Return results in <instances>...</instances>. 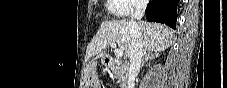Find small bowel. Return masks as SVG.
<instances>
[{
  "label": "small bowel",
  "mask_w": 227,
  "mask_h": 88,
  "mask_svg": "<svg viewBox=\"0 0 227 88\" xmlns=\"http://www.w3.org/2000/svg\"><path fill=\"white\" fill-rule=\"evenodd\" d=\"M89 70L92 71L93 70V66H90ZM99 87L102 88V86H99Z\"/></svg>",
  "instance_id": "c3829d8e"
}]
</instances>
